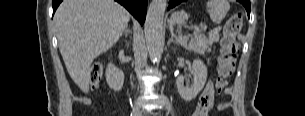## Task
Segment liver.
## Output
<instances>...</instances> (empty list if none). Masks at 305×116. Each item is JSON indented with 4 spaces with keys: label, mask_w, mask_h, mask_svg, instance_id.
Listing matches in <instances>:
<instances>
[{
    "label": "liver",
    "mask_w": 305,
    "mask_h": 116,
    "mask_svg": "<svg viewBox=\"0 0 305 116\" xmlns=\"http://www.w3.org/2000/svg\"><path fill=\"white\" fill-rule=\"evenodd\" d=\"M130 20L114 0H64L54 15L59 50L67 71L84 92L89 91L93 60L118 41Z\"/></svg>",
    "instance_id": "liver-1"
}]
</instances>
